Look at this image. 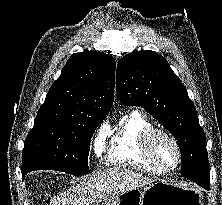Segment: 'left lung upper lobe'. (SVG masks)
<instances>
[{"mask_svg": "<svg viewBox=\"0 0 222 205\" xmlns=\"http://www.w3.org/2000/svg\"><path fill=\"white\" fill-rule=\"evenodd\" d=\"M116 89L123 105L143 107L169 130L181 154H195L203 165L196 175L210 183L205 134L186 88L165 58L149 50L126 55L117 65Z\"/></svg>", "mask_w": 222, "mask_h": 205, "instance_id": "obj_1", "label": "left lung upper lobe"}]
</instances>
